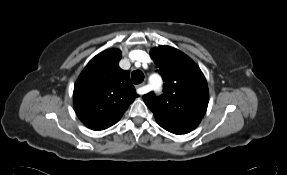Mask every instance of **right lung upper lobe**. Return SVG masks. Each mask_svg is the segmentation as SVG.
<instances>
[{
  "instance_id": "1",
  "label": "right lung upper lobe",
  "mask_w": 287,
  "mask_h": 175,
  "mask_svg": "<svg viewBox=\"0 0 287 175\" xmlns=\"http://www.w3.org/2000/svg\"><path fill=\"white\" fill-rule=\"evenodd\" d=\"M121 51L109 49L90 60L73 93L78 118L92 130H104L119 121L138 95L130 72L119 67Z\"/></svg>"
}]
</instances>
